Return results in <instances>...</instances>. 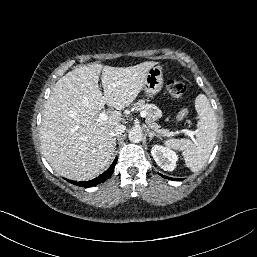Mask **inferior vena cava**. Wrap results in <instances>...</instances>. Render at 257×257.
<instances>
[{"mask_svg": "<svg viewBox=\"0 0 257 257\" xmlns=\"http://www.w3.org/2000/svg\"><path fill=\"white\" fill-rule=\"evenodd\" d=\"M126 127L124 125H118L113 130L110 131V136H118L122 133H124Z\"/></svg>", "mask_w": 257, "mask_h": 257, "instance_id": "obj_1", "label": "inferior vena cava"}]
</instances>
